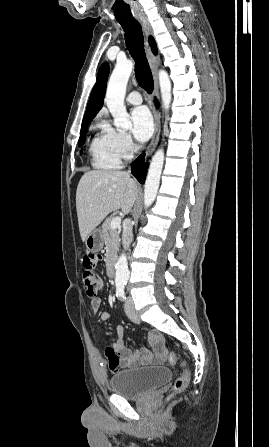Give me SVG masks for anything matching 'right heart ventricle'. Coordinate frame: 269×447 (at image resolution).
Instances as JSON below:
<instances>
[{
	"label": "right heart ventricle",
	"instance_id": "e07e8e85",
	"mask_svg": "<svg viewBox=\"0 0 269 447\" xmlns=\"http://www.w3.org/2000/svg\"><path fill=\"white\" fill-rule=\"evenodd\" d=\"M91 163L98 169L119 167L122 157L119 155L113 134L104 129L98 133L90 145Z\"/></svg>",
	"mask_w": 269,
	"mask_h": 447
}]
</instances>
